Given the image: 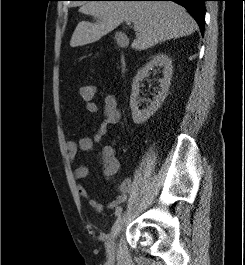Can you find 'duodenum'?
Here are the masks:
<instances>
[{"label":"duodenum","mask_w":245,"mask_h":265,"mask_svg":"<svg viewBox=\"0 0 245 265\" xmlns=\"http://www.w3.org/2000/svg\"><path fill=\"white\" fill-rule=\"evenodd\" d=\"M122 65L125 66V59H122Z\"/></svg>","instance_id":"410a0bca"}]
</instances>
